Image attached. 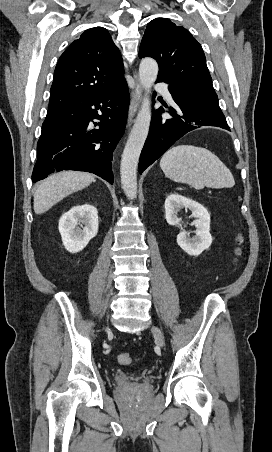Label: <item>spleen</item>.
Segmentation results:
<instances>
[{"label": "spleen", "mask_w": 272, "mask_h": 452, "mask_svg": "<svg viewBox=\"0 0 272 452\" xmlns=\"http://www.w3.org/2000/svg\"><path fill=\"white\" fill-rule=\"evenodd\" d=\"M166 177L195 189L231 188L235 181L230 170L211 151L192 145L169 149L160 160Z\"/></svg>", "instance_id": "obj_1"}]
</instances>
